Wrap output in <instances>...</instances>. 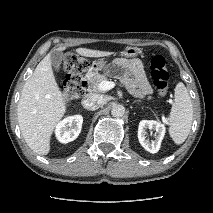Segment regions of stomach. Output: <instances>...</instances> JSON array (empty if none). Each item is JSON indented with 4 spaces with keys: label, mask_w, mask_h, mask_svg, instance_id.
I'll return each instance as SVG.
<instances>
[{
    "label": "stomach",
    "mask_w": 213,
    "mask_h": 213,
    "mask_svg": "<svg viewBox=\"0 0 213 213\" xmlns=\"http://www.w3.org/2000/svg\"><path fill=\"white\" fill-rule=\"evenodd\" d=\"M142 50L138 47H126L121 53L120 55L126 58H132L135 56H138L139 54H141ZM108 68V64L106 61H104L103 59H100L98 61H94L90 68L89 71L90 72H98L101 70H106Z\"/></svg>",
    "instance_id": "1"
}]
</instances>
